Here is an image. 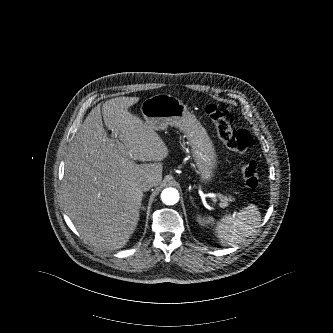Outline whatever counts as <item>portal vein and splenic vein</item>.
<instances>
[{"label":"portal vein and splenic vein","mask_w":333,"mask_h":333,"mask_svg":"<svg viewBox=\"0 0 333 333\" xmlns=\"http://www.w3.org/2000/svg\"><path fill=\"white\" fill-rule=\"evenodd\" d=\"M137 168H140V166H137ZM207 196H209L210 198H213V199L223 197L221 194H216V193H213V192L208 193Z\"/></svg>","instance_id":"18ae733b"}]
</instances>
